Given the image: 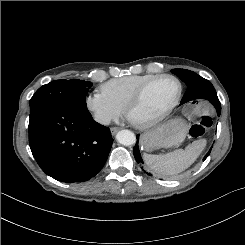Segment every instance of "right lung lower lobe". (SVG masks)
<instances>
[{
    "label": "right lung lower lobe",
    "mask_w": 245,
    "mask_h": 245,
    "mask_svg": "<svg viewBox=\"0 0 245 245\" xmlns=\"http://www.w3.org/2000/svg\"><path fill=\"white\" fill-rule=\"evenodd\" d=\"M29 145L41 169L65 183L84 182L104 166L113 138L89 111L43 104L30 111Z\"/></svg>",
    "instance_id": "obj_1"
}]
</instances>
